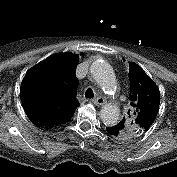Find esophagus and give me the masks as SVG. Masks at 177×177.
Wrapping results in <instances>:
<instances>
[{"label":"esophagus","instance_id":"1","mask_svg":"<svg viewBox=\"0 0 177 177\" xmlns=\"http://www.w3.org/2000/svg\"><path fill=\"white\" fill-rule=\"evenodd\" d=\"M95 105L102 106L105 104V99L103 97H97L91 100Z\"/></svg>","mask_w":177,"mask_h":177}]
</instances>
